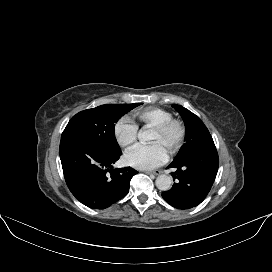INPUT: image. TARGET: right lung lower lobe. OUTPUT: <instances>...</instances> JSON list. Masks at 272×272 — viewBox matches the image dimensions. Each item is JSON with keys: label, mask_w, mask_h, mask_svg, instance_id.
Instances as JSON below:
<instances>
[{"label": "right lung lower lobe", "mask_w": 272, "mask_h": 272, "mask_svg": "<svg viewBox=\"0 0 272 272\" xmlns=\"http://www.w3.org/2000/svg\"><path fill=\"white\" fill-rule=\"evenodd\" d=\"M121 155V150L109 151L88 139H61L60 159L71 193L94 209H105L126 196L138 172L131 167L113 169Z\"/></svg>", "instance_id": "obj_1"}]
</instances>
